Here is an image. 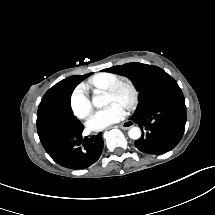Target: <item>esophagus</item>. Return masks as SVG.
<instances>
[{"label": "esophagus", "mask_w": 215, "mask_h": 215, "mask_svg": "<svg viewBox=\"0 0 215 215\" xmlns=\"http://www.w3.org/2000/svg\"><path fill=\"white\" fill-rule=\"evenodd\" d=\"M134 126V122L131 120L123 122L119 127L123 130L129 129Z\"/></svg>", "instance_id": "esophagus-1"}]
</instances>
